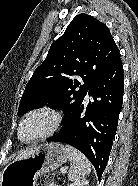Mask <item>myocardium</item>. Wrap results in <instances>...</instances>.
Listing matches in <instances>:
<instances>
[{"label": "myocardium", "instance_id": "f54148a6", "mask_svg": "<svg viewBox=\"0 0 138 186\" xmlns=\"http://www.w3.org/2000/svg\"><path fill=\"white\" fill-rule=\"evenodd\" d=\"M37 113H48L52 116L53 118V124L52 126L44 133L38 135V136H35L31 139H22L21 137V129L24 125V123L27 121V119L34 115V114H37ZM62 121H63V115L62 113L51 107V106H40V107H36V108H33L31 110H29L28 112H26L24 114V116L22 117L19 125H18V128H17V136H18V139L23 142V143H26V144H29V143H33V142H36V141H40V140H43V139H46L50 136H52L54 133H56L61 125H62Z\"/></svg>", "mask_w": 138, "mask_h": 186}]
</instances>
